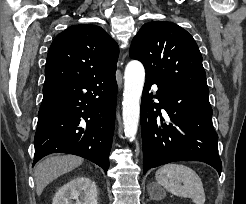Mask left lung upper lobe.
<instances>
[{"label": "left lung upper lobe", "instance_id": "5c2ea615", "mask_svg": "<svg viewBox=\"0 0 246 204\" xmlns=\"http://www.w3.org/2000/svg\"><path fill=\"white\" fill-rule=\"evenodd\" d=\"M129 55L145 67L146 77L207 87L202 56L193 37L172 22L144 24Z\"/></svg>", "mask_w": 246, "mask_h": 204}]
</instances>
